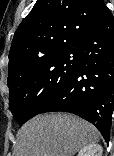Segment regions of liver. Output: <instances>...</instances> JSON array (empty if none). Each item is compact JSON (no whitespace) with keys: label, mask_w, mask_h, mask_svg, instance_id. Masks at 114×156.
Here are the masks:
<instances>
[{"label":"liver","mask_w":114,"mask_h":156,"mask_svg":"<svg viewBox=\"0 0 114 156\" xmlns=\"http://www.w3.org/2000/svg\"><path fill=\"white\" fill-rule=\"evenodd\" d=\"M99 139L96 127L77 116L38 115L18 131L15 156H74Z\"/></svg>","instance_id":"6515ba94"}]
</instances>
